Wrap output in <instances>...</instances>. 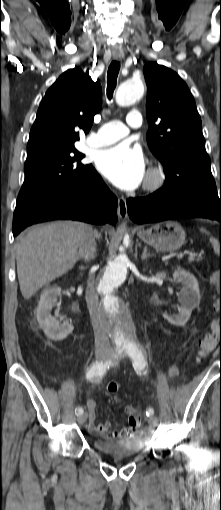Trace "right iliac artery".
<instances>
[{
    "label": "right iliac artery",
    "instance_id": "1",
    "mask_svg": "<svg viewBox=\"0 0 221 510\" xmlns=\"http://www.w3.org/2000/svg\"><path fill=\"white\" fill-rule=\"evenodd\" d=\"M110 365H111V361H106V362H102V361L97 362L96 361V362L92 363V365L90 366L89 370L86 373L87 380L102 377L106 373V371L109 369ZM83 411L84 410L82 407L76 408L77 415L82 414Z\"/></svg>",
    "mask_w": 221,
    "mask_h": 510
}]
</instances>
